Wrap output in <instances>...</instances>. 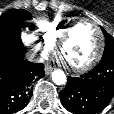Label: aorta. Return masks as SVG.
<instances>
[{
  "label": "aorta",
  "mask_w": 114,
  "mask_h": 114,
  "mask_svg": "<svg viewBox=\"0 0 114 114\" xmlns=\"http://www.w3.org/2000/svg\"><path fill=\"white\" fill-rule=\"evenodd\" d=\"M52 80L57 85H63L66 83L67 78L62 70L57 69L52 72Z\"/></svg>",
  "instance_id": "762f6f07"
}]
</instances>
